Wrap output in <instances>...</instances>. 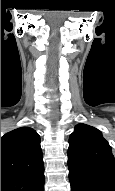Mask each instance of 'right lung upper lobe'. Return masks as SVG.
Wrapping results in <instances>:
<instances>
[{"mask_svg":"<svg viewBox=\"0 0 115 191\" xmlns=\"http://www.w3.org/2000/svg\"><path fill=\"white\" fill-rule=\"evenodd\" d=\"M44 169L40 136L29 127H21L1 138V178L24 177Z\"/></svg>","mask_w":115,"mask_h":191,"instance_id":"right-lung-upper-lobe-1","label":"right lung upper lobe"}]
</instances>
